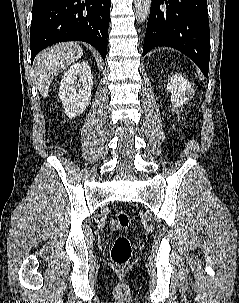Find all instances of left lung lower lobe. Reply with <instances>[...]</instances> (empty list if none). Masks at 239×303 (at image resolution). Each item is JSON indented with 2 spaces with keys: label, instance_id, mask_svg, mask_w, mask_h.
<instances>
[{
  "label": "left lung lower lobe",
  "instance_id": "0a47b994",
  "mask_svg": "<svg viewBox=\"0 0 239 303\" xmlns=\"http://www.w3.org/2000/svg\"><path fill=\"white\" fill-rule=\"evenodd\" d=\"M158 46L192 59L208 78L210 31L207 0H152L143 56Z\"/></svg>",
  "mask_w": 239,
  "mask_h": 303
}]
</instances>
